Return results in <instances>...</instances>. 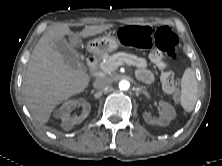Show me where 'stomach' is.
<instances>
[{
	"label": "stomach",
	"mask_w": 222,
	"mask_h": 166,
	"mask_svg": "<svg viewBox=\"0 0 222 166\" xmlns=\"http://www.w3.org/2000/svg\"><path fill=\"white\" fill-rule=\"evenodd\" d=\"M120 46L116 37L105 35L97 37L88 42L87 48L90 52L95 54H105L116 50Z\"/></svg>",
	"instance_id": "1"
}]
</instances>
